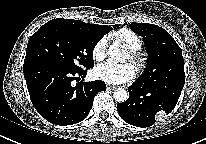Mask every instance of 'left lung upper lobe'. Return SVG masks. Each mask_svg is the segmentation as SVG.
<instances>
[{
  "label": "left lung upper lobe",
  "instance_id": "obj_1",
  "mask_svg": "<svg viewBox=\"0 0 206 144\" xmlns=\"http://www.w3.org/2000/svg\"><path fill=\"white\" fill-rule=\"evenodd\" d=\"M130 28L142 36L149 55L146 70L135 82L152 86L185 76L182 50L166 30L149 23H131Z\"/></svg>",
  "mask_w": 206,
  "mask_h": 144
}]
</instances>
